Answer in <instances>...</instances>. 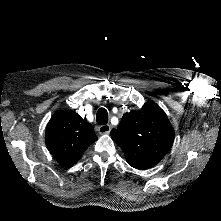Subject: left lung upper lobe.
I'll use <instances>...</instances> for the list:
<instances>
[{
    "label": "left lung upper lobe",
    "instance_id": "5c2ea615",
    "mask_svg": "<svg viewBox=\"0 0 221 221\" xmlns=\"http://www.w3.org/2000/svg\"><path fill=\"white\" fill-rule=\"evenodd\" d=\"M111 137L132 167L148 169L168 152L174 130L164 111L148 101L140 110L124 114L117 129L111 130Z\"/></svg>",
    "mask_w": 221,
    "mask_h": 221
}]
</instances>
